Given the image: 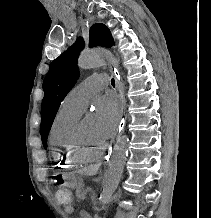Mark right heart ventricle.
Segmentation results:
<instances>
[{
    "label": "right heart ventricle",
    "mask_w": 211,
    "mask_h": 218,
    "mask_svg": "<svg viewBox=\"0 0 211 218\" xmlns=\"http://www.w3.org/2000/svg\"><path fill=\"white\" fill-rule=\"evenodd\" d=\"M81 112L62 105L57 111L51 127L54 144L50 147V157L55 169H79L78 163H87L97 157L78 153L74 147V132Z\"/></svg>",
    "instance_id": "obj_1"
}]
</instances>
